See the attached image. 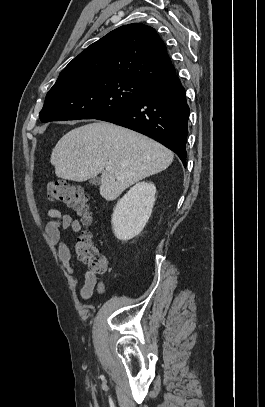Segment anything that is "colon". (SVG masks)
Listing matches in <instances>:
<instances>
[{
    "label": "colon",
    "mask_w": 265,
    "mask_h": 407,
    "mask_svg": "<svg viewBox=\"0 0 265 407\" xmlns=\"http://www.w3.org/2000/svg\"><path fill=\"white\" fill-rule=\"evenodd\" d=\"M46 200L62 202L78 212L85 223L92 221V200L82 188L66 182H50L46 186ZM78 259L88 264L95 271H103L108 266V261L93 245L90 238L84 236L76 244Z\"/></svg>",
    "instance_id": "5ec220e1"
}]
</instances>
